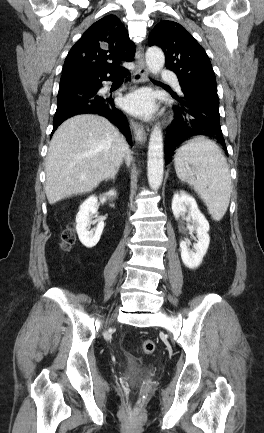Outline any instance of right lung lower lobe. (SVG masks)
I'll return each mask as SVG.
<instances>
[{
    "mask_svg": "<svg viewBox=\"0 0 264 433\" xmlns=\"http://www.w3.org/2000/svg\"><path fill=\"white\" fill-rule=\"evenodd\" d=\"M126 75H128V71L124 70L115 75L77 80L60 85L52 134L66 119L78 114L94 113L106 117L115 124L131 144L132 137L126 118L115 107L111 96H103L98 93L99 88L102 87V81L113 80L117 76Z\"/></svg>",
    "mask_w": 264,
    "mask_h": 433,
    "instance_id": "right-lung-lower-lobe-1",
    "label": "right lung lower lobe"
}]
</instances>
